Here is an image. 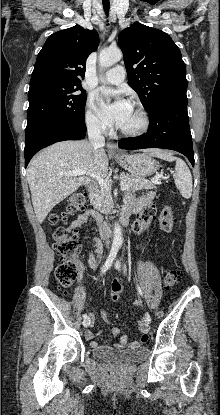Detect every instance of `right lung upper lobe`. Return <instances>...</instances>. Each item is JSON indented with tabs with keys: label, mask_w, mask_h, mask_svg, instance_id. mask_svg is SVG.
<instances>
[{
	"label": "right lung upper lobe",
	"mask_w": 220,
	"mask_h": 415,
	"mask_svg": "<svg viewBox=\"0 0 220 415\" xmlns=\"http://www.w3.org/2000/svg\"><path fill=\"white\" fill-rule=\"evenodd\" d=\"M98 45V33L79 25L53 33L37 56L30 81L52 78L81 84L86 60Z\"/></svg>",
	"instance_id": "obj_1"
}]
</instances>
